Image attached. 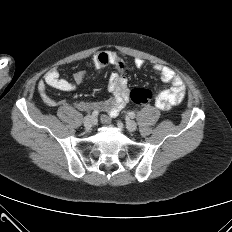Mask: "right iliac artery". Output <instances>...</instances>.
I'll use <instances>...</instances> for the list:
<instances>
[{"instance_id":"obj_1","label":"right iliac artery","mask_w":232,"mask_h":232,"mask_svg":"<svg viewBox=\"0 0 232 232\" xmlns=\"http://www.w3.org/2000/svg\"><path fill=\"white\" fill-rule=\"evenodd\" d=\"M98 114H99L98 111H94V112H92V115H91V116H92L93 118H95V117L98 116Z\"/></svg>"}]
</instances>
